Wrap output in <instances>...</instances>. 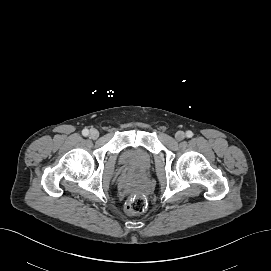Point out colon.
<instances>
[{
    "label": "colon",
    "instance_id": "5ec220e1",
    "mask_svg": "<svg viewBox=\"0 0 271 271\" xmlns=\"http://www.w3.org/2000/svg\"><path fill=\"white\" fill-rule=\"evenodd\" d=\"M147 206V198L142 194H138L127 201L125 208L129 213H142L147 209Z\"/></svg>",
    "mask_w": 271,
    "mask_h": 271
}]
</instances>
